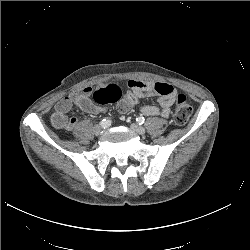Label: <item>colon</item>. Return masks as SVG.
Wrapping results in <instances>:
<instances>
[{
	"mask_svg": "<svg viewBox=\"0 0 250 250\" xmlns=\"http://www.w3.org/2000/svg\"><path fill=\"white\" fill-rule=\"evenodd\" d=\"M139 96L132 90L123 92L119 86L108 82L97 86L93 90V99L100 105L115 103L121 113L128 112L137 102ZM192 107L183 94L176 97V103L173 111V119L179 124H185L191 117Z\"/></svg>",
	"mask_w": 250,
	"mask_h": 250,
	"instance_id": "1",
	"label": "colon"
}]
</instances>
